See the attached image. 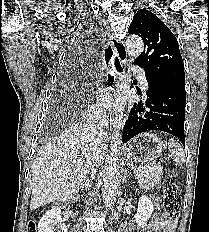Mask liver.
I'll use <instances>...</instances> for the list:
<instances>
[{
    "label": "liver",
    "mask_w": 209,
    "mask_h": 232,
    "mask_svg": "<svg viewBox=\"0 0 209 232\" xmlns=\"http://www.w3.org/2000/svg\"><path fill=\"white\" fill-rule=\"evenodd\" d=\"M104 150L95 133L81 125L71 127L42 148L32 165L30 209L76 195L95 157L99 162Z\"/></svg>",
    "instance_id": "obj_1"
}]
</instances>
